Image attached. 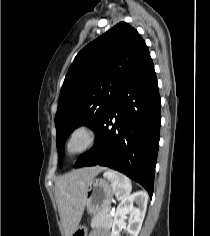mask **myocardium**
<instances>
[{"label":"myocardium","mask_w":210,"mask_h":236,"mask_svg":"<svg viewBox=\"0 0 210 236\" xmlns=\"http://www.w3.org/2000/svg\"><path fill=\"white\" fill-rule=\"evenodd\" d=\"M96 138L97 132L90 123H79L71 129L65 139V153L70 157L77 156L91 148Z\"/></svg>","instance_id":"f54148a6"}]
</instances>
